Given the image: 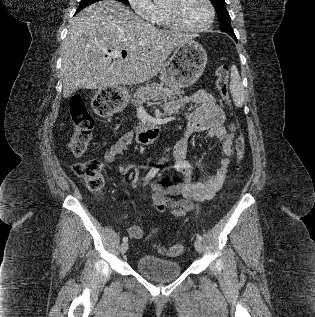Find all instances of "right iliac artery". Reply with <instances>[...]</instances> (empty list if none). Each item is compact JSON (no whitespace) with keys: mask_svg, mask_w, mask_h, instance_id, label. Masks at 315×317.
<instances>
[{"mask_svg":"<svg viewBox=\"0 0 315 317\" xmlns=\"http://www.w3.org/2000/svg\"><path fill=\"white\" fill-rule=\"evenodd\" d=\"M157 172H158V168L152 167L145 177V184H147L149 180H151L156 175ZM127 241H128V237H123V242H127Z\"/></svg>","mask_w":315,"mask_h":317,"instance_id":"obj_1","label":"right iliac artery"}]
</instances>
